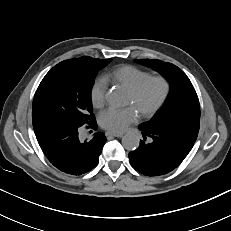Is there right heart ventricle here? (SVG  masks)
<instances>
[{
  "label": "right heart ventricle",
  "instance_id": "e07e8e85",
  "mask_svg": "<svg viewBox=\"0 0 231 231\" xmlns=\"http://www.w3.org/2000/svg\"><path fill=\"white\" fill-rule=\"evenodd\" d=\"M149 75L150 73L148 71L132 65H124L114 69L106 76V79L117 85L123 86L127 90H130Z\"/></svg>",
  "mask_w": 231,
  "mask_h": 231
}]
</instances>
